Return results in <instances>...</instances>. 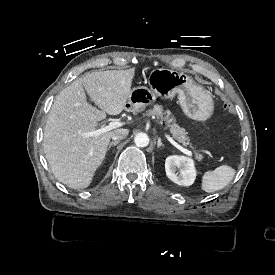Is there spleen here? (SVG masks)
<instances>
[{"mask_svg":"<svg viewBox=\"0 0 275 275\" xmlns=\"http://www.w3.org/2000/svg\"><path fill=\"white\" fill-rule=\"evenodd\" d=\"M235 175V169L222 164L213 171H206L201 177V190L212 193L227 186Z\"/></svg>","mask_w":275,"mask_h":275,"instance_id":"1","label":"spleen"}]
</instances>
